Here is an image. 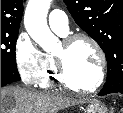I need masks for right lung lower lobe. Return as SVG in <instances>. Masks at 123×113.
I'll return each mask as SVG.
<instances>
[{
  "label": "right lung lower lobe",
  "instance_id": "98d812e1",
  "mask_svg": "<svg viewBox=\"0 0 123 113\" xmlns=\"http://www.w3.org/2000/svg\"><path fill=\"white\" fill-rule=\"evenodd\" d=\"M7 84H1V86H6Z\"/></svg>",
  "mask_w": 123,
  "mask_h": 113
}]
</instances>
